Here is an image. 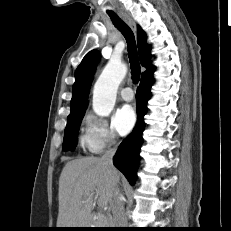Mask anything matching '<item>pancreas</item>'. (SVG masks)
Masks as SVG:
<instances>
[{"label": "pancreas", "instance_id": "cf45deb5", "mask_svg": "<svg viewBox=\"0 0 231 231\" xmlns=\"http://www.w3.org/2000/svg\"><path fill=\"white\" fill-rule=\"evenodd\" d=\"M109 222H110V218L108 215H105V214L98 215L97 224L104 226V225L109 224Z\"/></svg>", "mask_w": 231, "mask_h": 231}]
</instances>
